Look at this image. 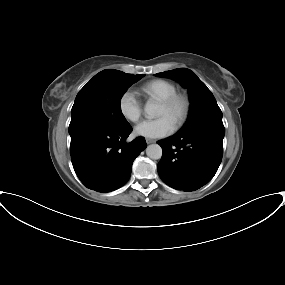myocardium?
<instances>
[{
	"label": "myocardium",
	"instance_id": "f54148a6",
	"mask_svg": "<svg viewBox=\"0 0 285 285\" xmlns=\"http://www.w3.org/2000/svg\"><path fill=\"white\" fill-rule=\"evenodd\" d=\"M160 104L166 108H172L181 105V112L174 124L175 129L182 127L189 118L191 112V99L185 92L176 91L172 95L160 101Z\"/></svg>",
	"mask_w": 285,
	"mask_h": 285
}]
</instances>
